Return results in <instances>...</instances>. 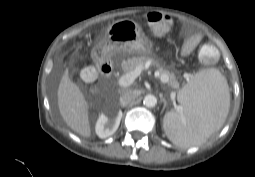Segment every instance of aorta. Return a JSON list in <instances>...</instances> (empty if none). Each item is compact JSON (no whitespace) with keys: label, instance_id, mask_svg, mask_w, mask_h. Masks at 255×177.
Instances as JSON below:
<instances>
[{"label":"aorta","instance_id":"762f6f07","mask_svg":"<svg viewBox=\"0 0 255 177\" xmlns=\"http://www.w3.org/2000/svg\"><path fill=\"white\" fill-rule=\"evenodd\" d=\"M143 103L146 107H154L157 104V99L154 95L148 94L144 97Z\"/></svg>","mask_w":255,"mask_h":177}]
</instances>
